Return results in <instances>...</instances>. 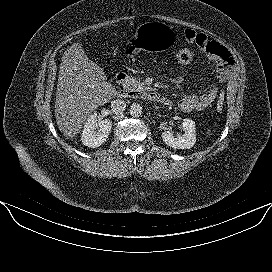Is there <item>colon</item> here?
I'll return each mask as SVG.
<instances>
[{
  "label": "colon",
  "mask_w": 272,
  "mask_h": 272,
  "mask_svg": "<svg viewBox=\"0 0 272 272\" xmlns=\"http://www.w3.org/2000/svg\"><path fill=\"white\" fill-rule=\"evenodd\" d=\"M173 56L176 62L181 64H188L193 60L194 53L188 48H180L174 52ZM224 97V92H221L216 104V111L218 112H221L224 108Z\"/></svg>",
  "instance_id": "colon-1"
}]
</instances>
